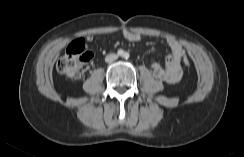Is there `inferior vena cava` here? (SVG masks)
<instances>
[{
	"instance_id": "602c4592",
	"label": "inferior vena cava",
	"mask_w": 244,
	"mask_h": 157,
	"mask_svg": "<svg viewBox=\"0 0 244 157\" xmlns=\"http://www.w3.org/2000/svg\"><path fill=\"white\" fill-rule=\"evenodd\" d=\"M116 59H117V55L114 54V53H110V54H108V55L105 57V61H106L107 63L113 62V61H115Z\"/></svg>"
}]
</instances>
